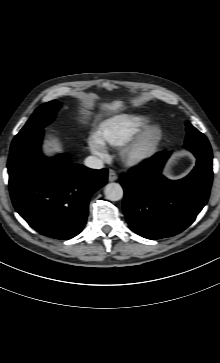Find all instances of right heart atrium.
Masks as SVG:
<instances>
[{
    "instance_id": "obj_1",
    "label": "right heart atrium",
    "mask_w": 220,
    "mask_h": 363,
    "mask_svg": "<svg viewBox=\"0 0 220 363\" xmlns=\"http://www.w3.org/2000/svg\"><path fill=\"white\" fill-rule=\"evenodd\" d=\"M88 146L92 153L105 159L108 156L107 148L101 138L96 135H90L88 138Z\"/></svg>"
}]
</instances>
